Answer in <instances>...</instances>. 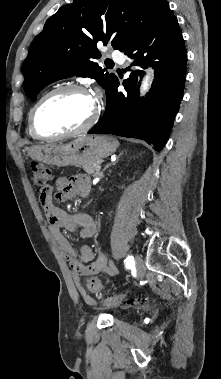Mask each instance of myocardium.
I'll list each match as a JSON object with an SVG mask.
<instances>
[{
  "label": "myocardium",
  "mask_w": 221,
  "mask_h": 379,
  "mask_svg": "<svg viewBox=\"0 0 221 379\" xmlns=\"http://www.w3.org/2000/svg\"><path fill=\"white\" fill-rule=\"evenodd\" d=\"M68 91L81 92V93H84V94L91 96L89 91L85 87L78 85V84L61 85V86H58V87L48 91L47 93H45L35 103V105L32 107V109L29 113V126L31 129V132L33 133V135L36 138L41 139V140H47V141L63 139V138H67V137H71V136L80 134V133L88 130L89 128H91L96 123V121L99 118V108H98L97 104L94 102L95 106H94V110H93L91 116L81 126L75 128L73 130H70V131H67L64 133H60V134H56V135H44L38 131L37 126H36V116H37V112L40 109V107L51 97H53L57 94H60V93L68 92Z\"/></svg>",
  "instance_id": "1"
}]
</instances>
